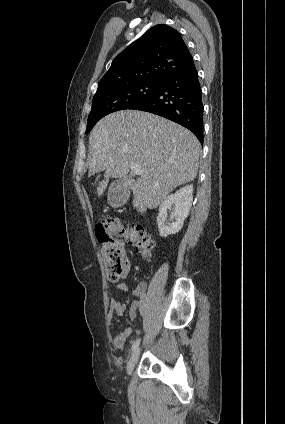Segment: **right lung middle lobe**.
Wrapping results in <instances>:
<instances>
[{
    "label": "right lung middle lobe",
    "instance_id": "dd1d6c3e",
    "mask_svg": "<svg viewBox=\"0 0 285 424\" xmlns=\"http://www.w3.org/2000/svg\"><path fill=\"white\" fill-rule=\"evenodd\" d=\"M163 81H139L98 90L93 97L86 134L104 116L115 111L130 109L155 94Z\"/></svg>",
    "mask_w": 285,
    "mask_h": 424
}]
</instances>
